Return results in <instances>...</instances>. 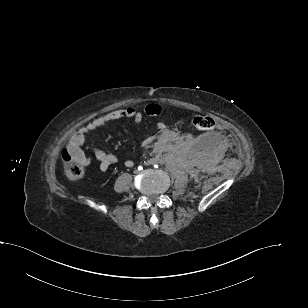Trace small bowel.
I'll use <instances>...</instances> for the list:
<instances>
[{
    "label": "small bowel",
    "instance_id": "c3829d8e",
    "mask_svg": "<svg viewBox=\"0 0 308 308\" xmlns=\"http://www.w3.org/2000/svg\"><path fill=\"white\" fill-rule=\"evenodd\" d=\"M162 113V107L158 104H148L143 111L137 110L133 107H126L123 109H117L110 111L106 114L98 116L88 122L86 125L76 131L69 139L67 145V151L72 155L73 158L81 161L84 165L90 163V159L85 155L82 150V146L85 143L86 136L88 133L100 128L108 122L120 120V119H131L137 124H141L144 116L156 117ZM159 130V136L154 139L151 136H146L142 141V146H150L155 144L156 148L162 150L168 144L175 142L179 138V134L176 131L168 129L165 123L159 122L157 124ZM95 158L99 161L100 169L106 171L111 165L117 162V157L114 154L105 152L103 150L95 151ZM127 167L134 165L132 160L125 162Z\"/></svg>",
    "mask_w": 308,
    "mask_h": 308
}]
</instances>
